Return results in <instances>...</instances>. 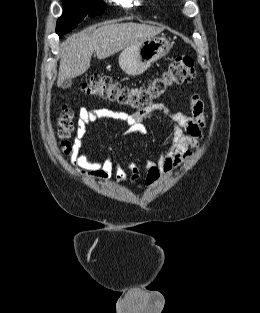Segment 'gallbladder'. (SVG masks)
Returning <instances> with one entry per match:
<instances>
[{
  "label": "gallbladder",
  "mask_w": 260,
  "mask_h": 313,
  "mask_svg": "<svg viewBox=\"0 0 260 313\" xmlns=\"http://www.w3.org/2000/svg\"><path fill=\"white\" fill-rule=\"evenodd\" d=\"M72 85V80L71 79H65L62 84H61V87L63 89H67V88H70Z\"/></svg>",
  "instance_id": "1"
}]
</instances>
